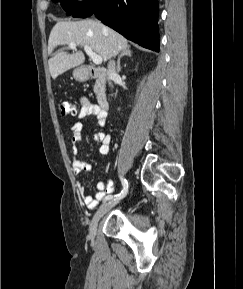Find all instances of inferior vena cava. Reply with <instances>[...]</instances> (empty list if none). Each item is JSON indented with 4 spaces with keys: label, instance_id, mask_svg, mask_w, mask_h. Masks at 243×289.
Wrapping results in <instances>:
<instances>
[{
    "label": "inferior vena cava",
    "instance_id": "inferior-vena-cava-1",
    "mask_svg": "<svg viewBox=\"0 0 243 289\" xmlns=\"http://www.w3.org/2000/svg\"><path fill=\"white\" fill-rule=\"evenodd\" d=\"M117 76L116 70H115V62L110 61L108 64V70H107V77L109 80V84L111 85V80L114 79Z\"/></svg>",
    "mask_w": 243,
    "mask_h": 289
}]
</instances>
